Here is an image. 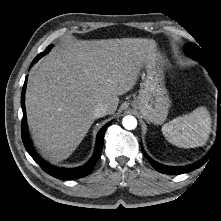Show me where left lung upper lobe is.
I'll return each instance as SVG.
<instances>
[{"mask_svg":"<svg viewBox=\"0 0 221 221\" xmlns=\"http://www.w3.org/2000/svg\"><path fill=\"white\" fill-rule=\"evenodd\" d=\"M186 52L189 56L195 58L196 60H199L200 62H202L203 60L206 61L203 51L194 43H189L186 46Z\"/></svg>","mask_w":221,"mask_h":221,"instance_id":"5c2ea615","label":"left lung upper lobe"}]
</instances>
